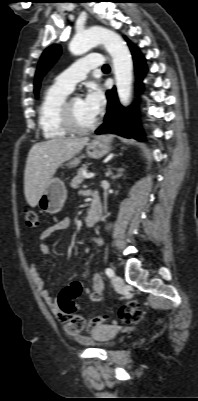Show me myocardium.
I'll use <instances>...</instances> for the list:
<instances>
[{"label": "myocardium", "instance_id": "1", "mask_svg": "<svg viewBox=\"0 0 198 401\" xmlns=\"http://www.w3.org/2000/svg\"><path fill=\"white\" fill-rule=\"evenodd\" d=\"M74 97L66 98L60 111V120L63 127L69 132L73 134H84L94 130L98 124L99 119L96 118L90 125L88 126H79L74 118L73 109H72V101Z\"/></svg>", "mask_w": 198, "mask_h": 401}]
</instances>
